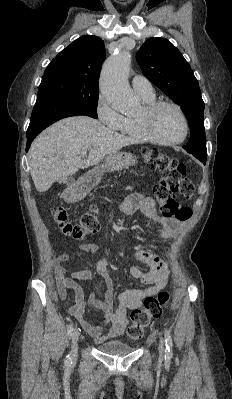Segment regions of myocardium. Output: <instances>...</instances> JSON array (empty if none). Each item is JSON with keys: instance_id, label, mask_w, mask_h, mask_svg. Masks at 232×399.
Here are the masks:
<instances>
[{"instance_id": "myocardium-1", "label": "myocardium", "mask_w": 232, "mask_h": 399, "mask_svg": "<svg viewBox=\"0 0 232 399\" xmlns=\"http://www.w3.org/2000/svg\"><path fill=\"white\" fill-rule=\"evenodd\" d=\"M163 106H171L177 110L184 123V134L179 140H166L160 138L152 128V119L156 112ZM139 126L143 133L153 142L162 145H178L183 143L189 134V123L183 109L176 103L170 101H156L145 105L143 112L137 117Z\"/></svg>"}]
</instances>
